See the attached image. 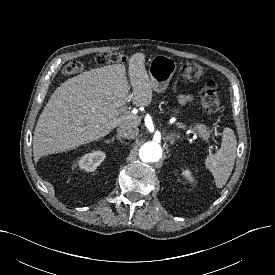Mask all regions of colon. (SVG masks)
Returning a JSON list of instances; mask_svg holds the SVG:
<instances>
[{
  "label": "colon",
  "mask_w": 275,
  "mask_h": 275,
  "mask_svg": "<svg viewBox=\"0 0 275 275\" xmlns=\"http://www.w3.org/2000/svg\"><path fill=\"white\" fill-rule=\"evenodd\" d=\"M125 57L117 51H105L97 54L94 58L96 64L104 66L107 64L118 63ZM84 68L81 61L74 60L67 63L63 68L65 76H72L80 73ZM206 73V68L195 62H187L181 67V75L184 80L196 82L203 78ZM200 98L203 108L208 113H217L221 109V99L217 91V83L214 80L203 82L200 87Z\"/></svg>",
  "instance_id": "1"
}]
</instances>
